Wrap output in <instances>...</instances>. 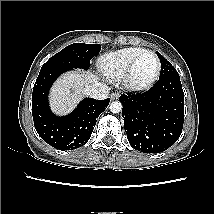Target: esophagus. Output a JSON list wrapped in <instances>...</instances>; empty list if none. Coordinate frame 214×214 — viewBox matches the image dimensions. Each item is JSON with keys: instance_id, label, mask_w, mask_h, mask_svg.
<instances>
[{"instance_id": "34e87169", "label": "esophagus", "mask_w": 214, "mask_h": 214, "mask_svg": "<svg viewBox=\"0 0 214 214\" xmlns=\"http://www.w3.org/2000/svg\"><path fill=\"white\" fill-rule=\"evenodd\" d=\"M119 94L118 93H112L111 95H110V97H111V99L112 100H117V99H119Z\"/></svg>"}]
</instances>
